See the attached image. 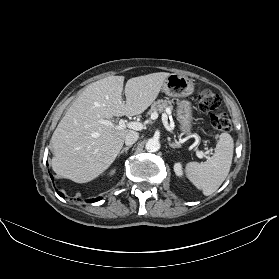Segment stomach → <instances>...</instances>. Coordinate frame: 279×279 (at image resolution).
I'll list each match as a JSON object with an SVG mask.
<instances>
[{
    "instance_id": "1",
    "label": "stomach",
    "mask_w": 279,
    "mask_h": 279,
    "mask_svg": "<svg viewBox=\"0 0 279 279\" xmlns=\"http://www.w3.org/2000/svg\"><path fill=\"white\" fill-rule=\"evenodd\" d=\"M166 95L177 98V119L180 123V130L184 135H190L192 129V107L191 103L185 98L194 91V84L186 76L170 74L163 86Z\"/></svg>"
}]
</instances>
